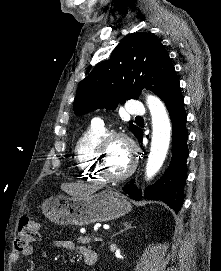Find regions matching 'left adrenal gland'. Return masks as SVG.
<instances>
[{"label": "left adrenal gland", "instance_id": "a2214340", "mask_svg": "<svg viewBox=\"0 0 221 271\" xmlns=\"http://www.w3.org/2000/svg\"><path fill=\"white\" fill-rule=\"evenodd\" d=\"M123 225H124V229H120L118 233H121V231H125V229H130V227H132V221L131 223L130 221H124ZM115 235H117V233H115Z\"/></svg>", "mask_w": 221, "mask_h": 271}]
</instances>
